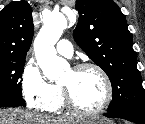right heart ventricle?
I'll return each instance as SVG.
<instances>
[{"label": "right heart ventricle", "instance_id": "right-heart-ventricle-1", "mask_svg": "<svg viewBox=\"0 0 145 124\" xmlns=\"http://www.w3.org/2000/svg\"><path fill=\"white\" fill-rule=\"evenodd\" d=\"M54 88H55V102L51 107L46 108L44 110L50 113L60 114L65 109V102H64L60 87L57 85H54Z\"/></svg>", "mask_w": 145, "mask_h": 124}]
</instances>
